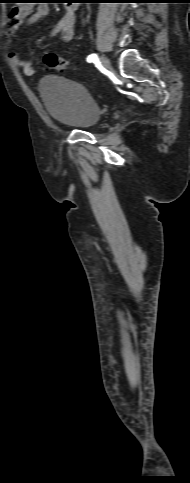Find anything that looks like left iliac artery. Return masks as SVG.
I'll use <instances>...</instances> for the list:
<instances>
[{
	"label": "left iliac artery",
	"instance_id": "1",
	"mask_svg": "<svg viewBox=\"0 0 190 483\" xmlns=\"http://www.w3.org/2000/svg\"><path fill=\"white\" fill-rule=\"evenodd\" d=\"M97 59H98V57H97V55H96V54H91V55H89V56L87 57V62H93V61H95V60H97Z\"/></svg>",
	"mask_w": 190,
	"mask_h": 483
}]
</instances>
